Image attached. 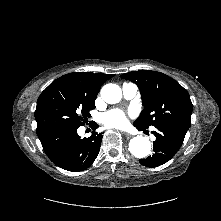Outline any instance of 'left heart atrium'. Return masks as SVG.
<instances>
[{
	"mask_svg": "<svg viewBox=\"0 0 221 221\" xmlns=\"http://www.w3.org/2000/svg\"><path fill=\"white\" fill-rule=\"evenodd\" d=\"M102 122L107 127L121 128L128 122V115L120 109H113L104 114Z\"/></svg>",
	"mask_w": 221,
	"mask_h": 221,
	"instance_id": "obj_1",
	"label": "left heart atrium"
}]
</instances>
